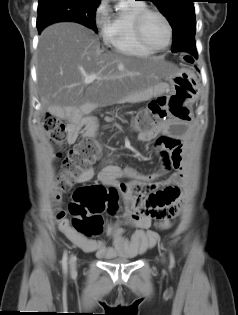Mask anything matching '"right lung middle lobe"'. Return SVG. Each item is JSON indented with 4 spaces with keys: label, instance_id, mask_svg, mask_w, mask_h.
I'll return each mask as SVG.
<instances>
[{
    "label": "right lung middle lobe",
    "instance_id": "dd1d6c3e",
    "mask_svg": "<svg viewBox=\"0 0 238 315\" xmlns=\"http://www.w3.org/2000/svg\"><path fill=\"white\" fill-rule=\"evenodd\" d=\"M100 0H39L37 29L62 21L80 23L95 33V11Z\"/></svg>",
    "mask_w": 238,
    "mask_h": 315
}]
</instances>
